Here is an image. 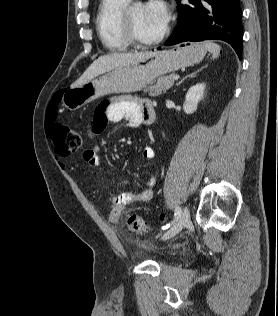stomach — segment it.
Here are the masks:
<instances>
[{
    "label": "stomach",
    "mask_w": 278,
    "mask_h": 316,
    "mask_svg": "<svg viewBox=\"0 0 278 316\" xmlns=\"http://www.w3.org/2000/svg\"><path fill=\"white\" fill-rule=\"evenodd\" d=\"M206 51L201 44L160 51L138 63L117 68L85 84L66 90L62 94V105L75 111L105 95L140 91L157 77L199 63Z\"/></svg>",
    "instance_id": "0dacf381"
}]
</instances>
